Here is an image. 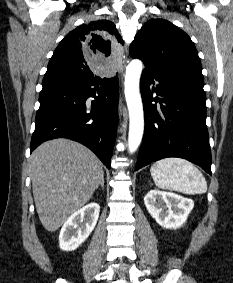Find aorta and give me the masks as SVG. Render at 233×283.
I'll return each instance as SVG.
<instances>
[{
  "label": "aorta",
  "mask_w": 233,
  "mask_h": 283,
  "mask_svg": "<svg viewBox=\"0 0 233 283\" xmlns=\"http://www.w3.org/2000/svg\"><path fill=\"white\" fill-rule=\"evenodd\" d=\"M143 65L139 59L132 60L126 68L125 98L129 111L128 149L133 153L139 147L144 132V113L139 90Z\"/></svg>",
  "instance_id": "1"
}]
</instances>
